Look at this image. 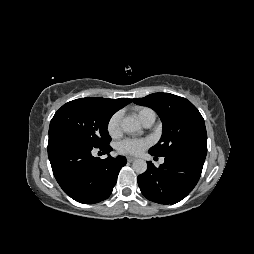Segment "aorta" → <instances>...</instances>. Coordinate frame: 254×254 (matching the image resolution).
<instances>
[{"instance_id": "1", "label": "aorta", "mask_w": 254, "mask_h": 254, "mask_svg": "<svg viewBox=\"0 0 254 254\" xmlns=\"http://www.w3.org/2000/svg\"><path fill=\"white\" fill-rule=\"evenodd\" d=\"M122 130L127 134H133L141 131L140 124L133 118H124L121 122ZM133 170L142 174L147 170V163L143 159H136L132 164Z\"/></svg>"}]
</instances>
